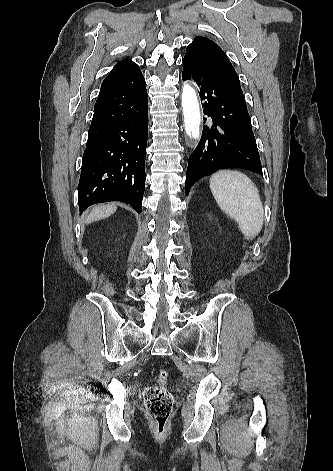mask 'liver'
Here are the masks:
<instances>
[{
  "mask_svg": "<svg viewBox=\"0 0 333 471\" xmlns=\"http://www.w3.org/2000/svg\"><path fill=\"white\" fill-rule=\"evenodd\" d=\"M116 209L117 207L115 204L97 205L90 212L86 219V223L108 218L116 211Z\"/></svg>",
  "mask_w": 333,
  "mask_h": 471,
  "instance_id": "6515ba94",
  "label": "liver"
}]
</instances>
